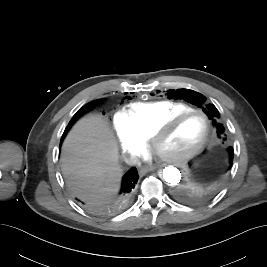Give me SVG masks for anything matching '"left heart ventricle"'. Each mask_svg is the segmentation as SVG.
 Returning <instances> with one entry per match:
<instances>
[{"instance_id":"left-heart-ventricle-1","label":"left heart ventricle","mask_w":267,"mask_h":267,"mask_svg":"<svg viewBox=\"0 0 267 267\" xmlns=\"http://www.w3.org/2000/svg\"><path fill=\"white\" fill-rule=\"evenodd\" d=\"M205 133V122L202 116L189 115L179 121L161 139L158 151L162 155L182 152L196 145Z\"/></svg>"}]
</instances>
